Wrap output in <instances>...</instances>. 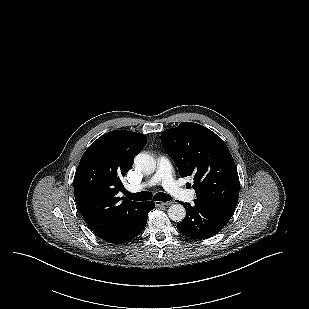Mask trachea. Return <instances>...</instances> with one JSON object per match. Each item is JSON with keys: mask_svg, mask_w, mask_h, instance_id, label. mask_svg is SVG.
Returning a JSON list of instances; mask_svg holds the SVG:
<instances>
[{"mask_svg": "<svg viewBox=\"0 0 309 309\" xmlns=\"http://www.w3.org/2000/svg\"><path fill=\"white\" fill-rule=\"evenodd\" d=\"M124 194L128 199H131V200H134V201H145V200H150L152 198L151 193H149L147 191L138 192V193H134V194H131V193L125 191ZM153 199L156 200V201H169L171 199V197L168 194H165L163 192H159V193H156L154 195Z\"/></svg>", "mask_w": 309, "mask_h": 309, "instance_id": "1", "label": "trachea"}]
</instances>
